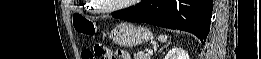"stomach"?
Here are the masks:
<instances>
[{
	"instance_id": "0dacf381",
	"label": "stomach",
	"mask_w": 261,
	"mask_h": 59,
	"mask_svg": "<svg viewBox=\"0 0 261 59\" xmlns=\"http://www.w3.org/2000/svg\"><path fill=\"white\" fill-rule=\"evenodd\" d=\"M150 30L141 25H134L129 22L117 24L109 33V38L122 47H133L151 39Z\"/></svg>"
}]
</instances>
